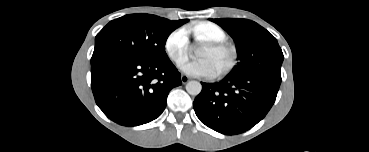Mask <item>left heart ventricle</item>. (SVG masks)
<instances>
[{"label": "left heart ventricle", "instance_id": "left-heart-ventricle-1", "mask_svg": "<svg viewBox=\"0 0 369 152\" xmlns=\"http://www.w3.org/2000/svg\"><path fill=\"white\" fill-rule=\"evenodd\" d=\"M200 57L201 58H205V59H209L216 71L218 72L219 70H221L223 67L226 66V64L229 61V53L226 51H214L212 49H210L209 47L205 46L202 51L200 52Z\"/></svg>", "mask_w": 369, "mask_h": 152}]
</instances>
